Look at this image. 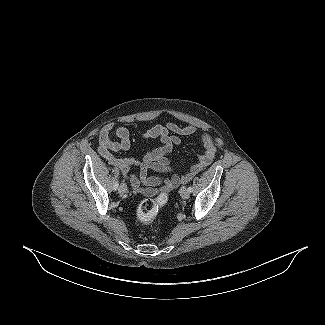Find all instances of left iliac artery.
<instances>
[{"label": "left iliac artery", "mask_w": 325, "mask_h": 325, "mask_svg": "<svg viewBox=\"0 0 325 325\" xmlns=\"http://www.w3.org/2000/svg\"><path fill=\"white\" fill-rule=\"evenodd\" d=\"M188 191L191 193L192 192V188L191 187H188Z\"/></svg>", "instance_id": "44dca946"}]
</instances>
